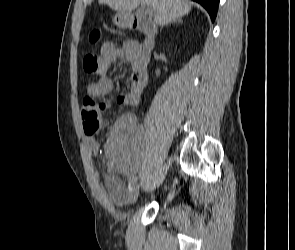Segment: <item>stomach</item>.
<instances>
[{
	"mask_svg": "<svg viewBox=\"0 0 295 250\" xmlns=\"http://www.w3.org/2000/svg\"><path fill=\"white\" fill-rule=\"evenodd\" d=\"M117 17L119 18L118 24H120L121 20H120V15L118 14ZM116 21V20H115ZM117 22V21H116Z\"/></svg>",
	"mask_w": 295,
	"mask_h": 250,
	"instance_id": "1",
	"label": "stomach"
}]
</instances>
